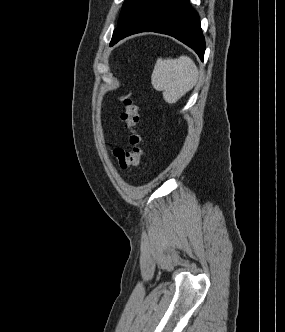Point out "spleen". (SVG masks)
I'll use <instances>...</instances> for the list:
<instances>
[{
    "label": "spleen",
    "mask_w": 285,
    "mask_h": 332,
    "mask_svg": "<svg viewBox=\"0 0 285 332\" xmlns=\"http://www.w3.org/2000/svg\"><path fill=\"white\" fill-rule=\"evenodd\" d=\"M197 80V66L185 55L176 59L158 58L151 77L154 89L162 91L169 104L176 103L196 85Z\"/></svg>",
    "instance_id": "obj_1"
}]
</instances>
